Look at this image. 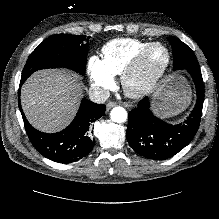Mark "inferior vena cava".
Masks as SVG:
<instances>
[{"label":"inferior vena cava","instance_id":"inferior-vena-cava-1","mask_svg":"<svg viewBox=\"0 0 219 219\" xmlns=\"http://www.w3.org/2000/svg\"><path fill=\"white\" fill-rule=\"evenodd\" d=\"M109 96V90L101 88L99 86H92L89 89V98L95 103H104L109 98Z\"/></svg>","mask_w":219,"mask_h":219}]
</instances>
